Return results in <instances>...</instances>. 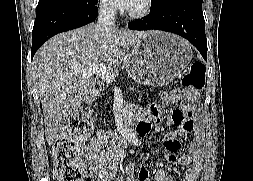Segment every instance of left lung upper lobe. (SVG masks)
I'll use <instances>...</instances> for the list:
<instances>
[{"label": "left lung upper lobe", "mask_w": 253, "mask_h": 181, "mask_svg": "<svg viewBox=\"0 0 253 181\" xmlns=\"http://www.w3.org/2000/svg\"><path fill=\"white\" fill-rule=\"evenodd\" d=\"M177 1H191L196 3H202V0H154V2L151 5L150 12L159 11Z\"/></svg>", "instance_id": "5c2ea615"}]
</instances>
